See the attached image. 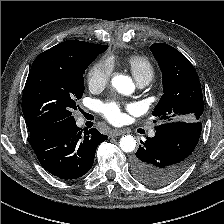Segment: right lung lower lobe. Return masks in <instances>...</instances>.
<instances>
[{
    "label": "right lung lower lobe",
    "mask_w": 224,
    "mask_h": 224,
    "mask_svg": "<svg viewBox=\"0 0 224 224\" xmlns=\"http://www.w3.org/2000/svg\"><path fill=\"white\" fill-rule=\"evenodd\" d=\"M29 132L43 168L61 179L85 175L93 165L98 145L107 139L95 128L83 133L75 120L47 123Z\"/></svg>",
    "instance_id": "1"
}]
</instances>
